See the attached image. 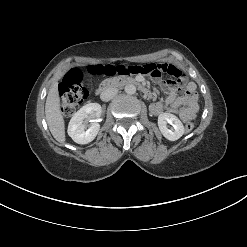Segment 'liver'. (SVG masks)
<instances>
[{
  "label": "liver",
  "mask_w": 247,
  "mask_h": 247,
  "mask_svg": "<svg viewBox=\"0 0 247 247\" xmlns=\"http://www.w3.org/2000/svg\"><path fill=\"white\" fill-rule=\"evenodd\" d=\"M45 115L47 124L53 137L60 143H64L65 122L60 111V97L58 93V84L54 83L47 95L45 104Z\"/></svg>",
  "instance_id": "obj_1"
}]
</instances>
